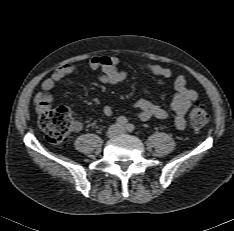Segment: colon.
<instances>
[{"label": "colon", "instance_id": "colon-1", "mask_svg": "<svg viewBox=\"0 0 234 231\" xmlns=\"http://www.w3.org/2000/svg\"><path fill=\"white\" fill-rule=\"evenodd\" d=\"M189 120L194 128L201 129L207 125L209 115L203 106L195 104L189 110ZM38 125L51 144L62 147L67 143L73 125L71 113L65 107L41 111Z\"/></svg>", "mask_w": 234, "mask_h": 231}]
</instances>
